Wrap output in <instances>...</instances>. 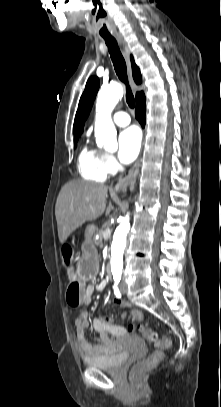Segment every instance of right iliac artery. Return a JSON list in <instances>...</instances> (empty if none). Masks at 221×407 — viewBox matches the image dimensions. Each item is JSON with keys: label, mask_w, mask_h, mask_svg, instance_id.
<instances>
[{"label": "right iliac artery", "mask_w": 221, "mask_h": 407, "mask_svg": "<svg viewBox=\"0 0 221 407\" xmlns=\"http://www.w3.org/2000/svg\"><path fill=\"white\" fill-rule=\"evenodd\" d=\"M117 282L115 283V285H114V294L117 296V297H120L121 296V293H120V290H119V288H118V286H117Z\"/></svg>", "instance_id": "right-iliac-artery-1"}]
</instances>
